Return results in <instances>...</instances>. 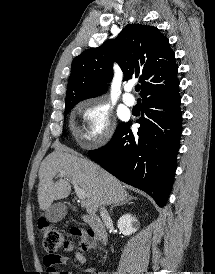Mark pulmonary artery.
<instances>
[{
    "label": "pulmonary artery",
    "instance_id": "obj_1",
    "mask_svg": "<svg viewBox=\"0 0 215 274\" xmlns=\"http://www.w3.org/2000/svg\"><path fill=\"white\" fill-rule=\"evenodd\" d=\"M132 86L131 85H126L125 86V93L123 94V102L125 105L129 107H133L136 104V100L134 96L131 94Z\"/></svg>",
    "mask_w": 215,
    "mask_h": 274
}]
</instances>
